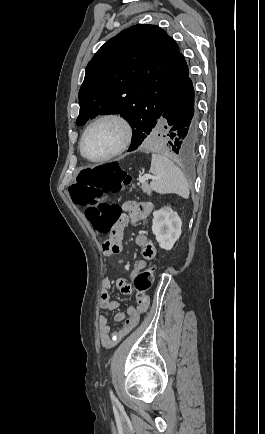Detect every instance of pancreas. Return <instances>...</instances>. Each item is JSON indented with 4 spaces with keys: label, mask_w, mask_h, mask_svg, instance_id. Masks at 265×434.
<instances>
[{
    "label": "pancreas",
    "mask_w": 265,
    "mask_h": 434,
    "mask_svg": "<svg viewBox=\"0 0 265 434\" xmlns=\"http://www.w3.org/2000/svg\"><path fill=\"white\" fill-rule=\"evenodd\" d=\"M140 188H142L143 192H145V194H147V196H152V190H151V188H149L147 182H144V184H142V186H140Z\"/></svg>",
    "instance_id": "1"
}]
</instances>
